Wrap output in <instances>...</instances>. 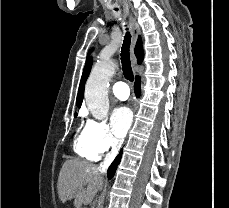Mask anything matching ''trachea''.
Here are the masks:
<instances>
[{
    "instance_id": "obj_1",
    "label": "trachea",
    "mask_w": 229,
    "mask_h": 208,
    "mask_svg": "<svg viewBox=\"0 0 229 208\" xmlns=\"http://www.w3.org/2000/svg\"><path fill=\"white\" fill-rule=\"evenodd\" d=\"M115 10L118 11V9ZM130 44H131V34L126 26V34L122 43L120 57H121L122 71L124 77L126 78V80L133 82L134 75H133V70L131 68V61H130V54H129Z\"/></svg>"
}]
</instances>
